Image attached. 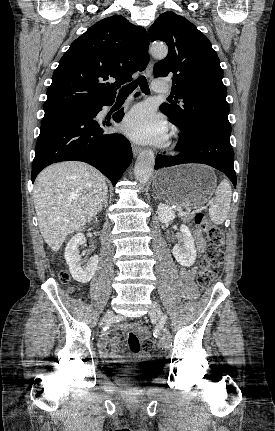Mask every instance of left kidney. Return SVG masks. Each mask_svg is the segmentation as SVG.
Returning <instances> with one entry per match:
<instances>
[{
	"label": "left kidney",
	"instance_id": "5707ae66",
	"mask_svg": "<svg viewBox=\"0 0 275 431\" xmlns=\"http://www.w3.org/2000/svg\"><path fill=\"white\" fill-rule=\"evenodd\" d=\"M157 214L162 223H168L175 218L174 211L166 204L158 205ZM180 231L183 235V240L173 247L172 253L180 265L190 267L194 264L197 256L194 239L185 224L181 225Z\"/></svg>",
	"mask_w": 275,
	"mask_h": 431
}]
</instances>
